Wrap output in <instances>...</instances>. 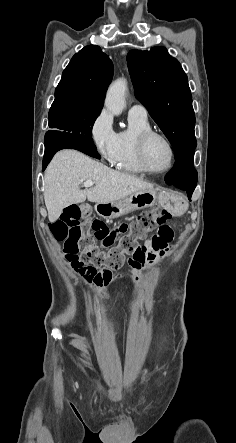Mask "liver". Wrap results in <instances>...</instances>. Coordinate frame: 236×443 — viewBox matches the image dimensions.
<instances>
[{
  "mask_svg": "<svg viewBox=\"0 0 236 443\" xmlns=\"http://www.w3.org/2000/svg\"><path fill=\"white\" fill-rule=\"evenodd\" d=\"M91 180L95 186L81 190ZM44 200L50 222H55L63 208L82 203H111L133 193L154 189L153 185L133 175L112 170L75 150L58 152L44 175Z\"/></svg>",
  "mask_w": 236,
  "mask_h": 443,
  "instance_id": "1",
  "label": "liver"
}]
</instances>
